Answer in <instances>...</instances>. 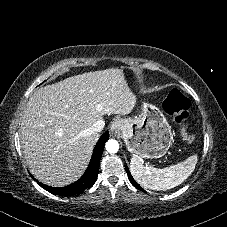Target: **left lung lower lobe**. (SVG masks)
I'll list each match as a JSON object with an SVG mask.
<instances>
[{
  "instance_id": "0a47b994",
  "label": "left lung lower lobe",
  "mask_w": 227,
  "mask_h": 227,
  "mask_svg": "<svg viewBox=\"0 0 227 227\" xmlns=\"http://www.w3.org/2000/svg\"><path fill=\"white\" fill-rule=\"evenodd\" d=\"M126 171H127V175H128V179L130 180V182L132 183L133 186H135L137 189L144 191L143 188H141L133 179V177L131 176L128 167L126 166Z\"/></svg>"
}]
</instances>
